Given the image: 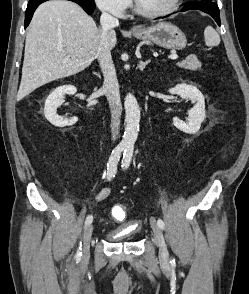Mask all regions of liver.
<instances>
[{
    "instance_id": "1",
    "label": "liver",
    "mask_w": 249,
    "mask_h": 294,
    "mask_svg": "<svg viewBox=\"0 0 249 294\" xmlns=\"http://www.w3.org/2000/svg\"><path fill=\"white\" fill-rule=\"evenodd\" d=\"M101 34L95 21L76 3L50 0L41 4L26 35L17 99L87 68L95 59ZM109 42L110 48H114L115 32L110 35Z\"/></svg>"
}]
</instances>
